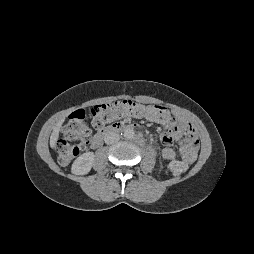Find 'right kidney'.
<instances>
[{
	"label": "right kidney",
	"instance_id": "1",
	"mask_svg": "<svg viewBox=\"0 0 254 254\" xmlns=\"http://www.w3.org/2000/svg\"><path fill=\"white\" fill-rule=\"evenodd\" d=\"M94 157L93 152H87L80 155L72 164V173L76 175L87 174L93 166Z\"/></svg>",
	"mask_w": 254,
	"mask_h": 254
}]
</instances>
